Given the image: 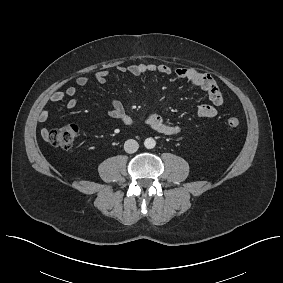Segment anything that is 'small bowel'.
Listing matches in <instances>:
<instances>
[{"mask_svg":"<svg viewBox=\"0 0 283 283\" xmlns=\"http://www.w3.org/2000/svg\"><path fill=\"white\" fill-rule=\"evenodd\" d=\"M120 74H130L132 76H141L145 74H160V75H174L178 79L186 80L192 87L199 88L208 94L210 103L201 104L198 107L197 115L202 119L213 118L218 114L217 107L224 103V97L219 89V85L216 79L209 73H202L193 68L188 67H178L173 69L167 64H135L128 66H120L118 69ZM95 80L104 84L108 77V71H99L95 74ZM89 79L86 76H79L76 79V84L79 87H84L88 84ZM77 93L76 86H69L64 91H56L52 93L49 97V101L53 103H58L64 100L66 96L71 97L67 102V108L72 109L77 105V99L74 97ZM110 117L119 120L126 126H133L135 124L134 119L128 115L125 111L123 104L119 101H114L111 104L109 110ZM50 113L48 109H42L39 113V120L45 122L49 119ZM145 122L154 131L167 135L174 136L181 134L185 127L178 124H173L167 122L158 113L149 114ZM48 130L46 128L42 129V134L46 136Z\"/></svg>","mask_w":283,"mask_h":283,"instance_id":"small-bowel-1","label":"small bowel"}]
</instances>
